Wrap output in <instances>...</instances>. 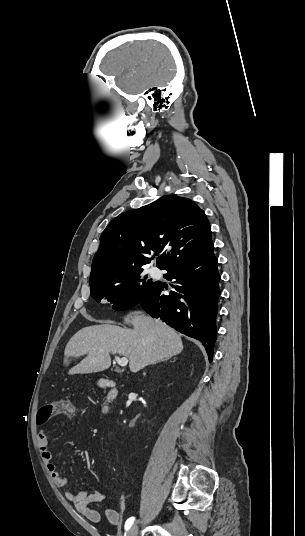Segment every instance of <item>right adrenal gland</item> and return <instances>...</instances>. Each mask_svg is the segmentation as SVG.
<instances>
[{
    "label": "right adrenal gland",
    "mask_w": 305,
    "mask_h": 536,
    "mask_svg": "<svg viewBox=\"0 0 305 536\" xmlns=\"http://www.w3.org/2000/svg\"><path fill=\"white\" fill-rule=\"evenodd\" d=\"M166 360H170V358H166ZM160 362H164V360H160Z\"/></svg>",
    "instance_id": "right-adrenal-gland-1"
}]
</instances>
